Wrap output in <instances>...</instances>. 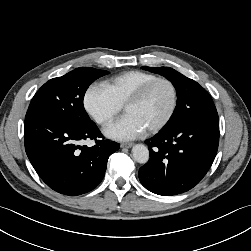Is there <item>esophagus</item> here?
I'll return each instance as SVG.
<instances>
[{
	"instance_id": "esophagus-1",
	"label": "esophagus",
	"mask_w": 251,
	"mask_h": 251,
	"mask_svg": "<svg viewBox=\"0 0 251 251\" xmlns=\"http://www.w3.org/2000/svg\"><path fill=\"white\" fill-rule=\"evenodd\" d=\"M133 146V143H121V148H131Z\"/></svg>"
}]
</instances>
